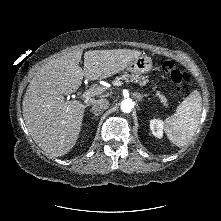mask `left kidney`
<instances>
[{"label":"left kidney","mask_w":221,"mask_h":221,"mask_svg":"<svg viewBox=\"0 0 221 221\" xmlns=\"http://www.w3.org/2000/svg\"><path fill=\"white\" fill-rule=\"evenodd\" d=\"M163 127H164V123L161 120L152 119L150 121L151 132L157 138H162V136H163Z\"/></svg>","instance_id":"obj_1"}]
</instances>
